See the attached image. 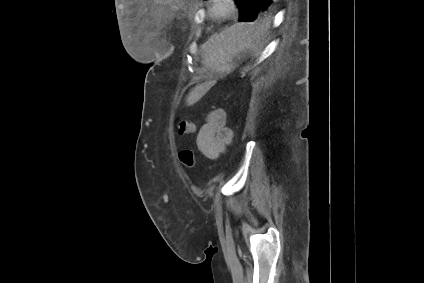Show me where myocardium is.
I'll use <instances>...</instances> for the list:
<instances>
[{
	"mask_svg": "<svg viewBox=\"0 0 424 283\" xmlns=\"http://www.w3.org/2000/svg\"><path fill=\"white\" fill-rule=\"evenodd\" d=\"M237 9L234 0H212L210 13L214 18L225 19L231 17Z\"/></svg>",
	"mask_w": 424,
	"mask_h": 283,
	"instance_id": "obj_1",
	"label": "myocardium"
}]
</instances>
